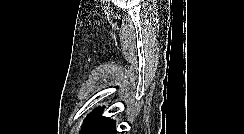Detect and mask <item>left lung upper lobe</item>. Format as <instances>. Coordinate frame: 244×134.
<instances>
[{
  "label": "left lung upper lobe",
  "instance_id": "1",
  "mask_svg": "<svg viewBox=\"0 0 244 134\" xmlns=\"http://www.w3.org/2000/svg\"><path fill=\"white\" fill-rule=\"evenodd\" d=\"M102 111V108H96L85 118L80 134H93L108 120L101 116Z\"/></svg>",
  "mask_w": 244,
  "mask_h": 134
}]
</instances>
